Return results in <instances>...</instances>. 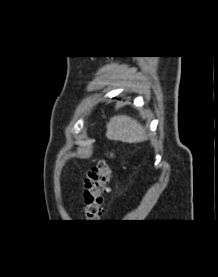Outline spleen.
Segmentation results:
<instances>
[{
    "instance_id": "spleen-1",
    "label": "spleen",
    "mask_w": 218,
    "mask_h": 277,
    "mask_svg": "<svg viewBox=\"0 0 218 277\" xmlns=\"http://www.w3.org/2000/svg\"><path fill=\"white\" fill-rule=\"evenodd\" d=\"M106 137L125 143H139L148 139L143 126L127 115H117L107 123Z\"/></svg>"
}]
</instances>
